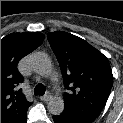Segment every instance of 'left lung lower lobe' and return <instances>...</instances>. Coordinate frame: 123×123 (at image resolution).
I'll return each mask as SVG.
<instances>
[{"mask_svg": "<svg viewBox=\"0 0 123 123\" xmlns=\"http://www.w3.org/2000/svg\"><path fill=\"white\" fill-rule=\"evenodd\" d=\"M53 120L55 123H82L81 121L74 119L64 112H62L60 115L53 116Z\"/></svg>", "mask_w": 123, "mask_h": 123, "instance_id": "0a47b994", "label": "left lung lower lobe"}]
</instances>
